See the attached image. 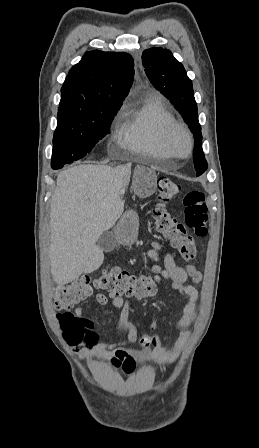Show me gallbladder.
I'll use <instances>...</instances> for the list:
<instances>
[{
  "label": "gallbladder",
  "mask_w": 259,
  "mask_h": 448,
  "mask_svg": "<svg viewBox=\"0 0 259 448\" xmlns=\"http://www.w3.org/2000/svg\"><path fill=\"white\" fill-rule=\"evenodd\" d=\"M97 246L102 252H112L117 246L116 236L113 232H103L102 236L97 240Z\"/></svg>",
  "instance_id": "obj_1"
}]
</instances>
